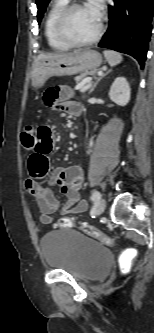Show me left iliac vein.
I'll return each instance as SVG.
<instances>
[{
  "label": "left iliac vein",
  "mask_w": 154,
  "mask_h": 333,
  "mask_svg": "<svg viewBox=\"0 0 154 333\" xmlns=\"http://www.w3.org/2000/svg\"><path fill=\"white\" fill-rule=\"evenodd\" d=\"M106 202L104 199H100L96 206V214L101 215L105 209Z\"/></svg>",
  "instance_id": "1"
}]
</instances>
